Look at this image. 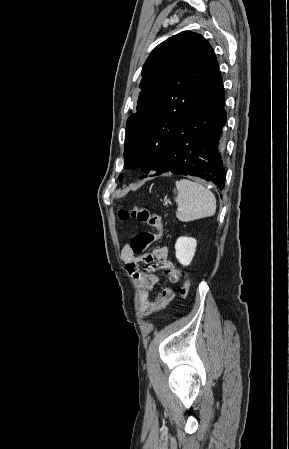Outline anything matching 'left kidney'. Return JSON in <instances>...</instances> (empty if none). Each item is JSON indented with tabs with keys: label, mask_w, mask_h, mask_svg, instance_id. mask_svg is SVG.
Segmentation results:
<instances>
[{
	"label": "left kidney",
	"mask_w": 289,
	"mask_h": 449,
	"mask_svg": "<svg viewBox=\"0 0 289 449\" xmlns=\"http://www.w3.org/2000/svg\"><path fill=\"white\" fill-rule=\"evenodd\" d=\"M197 242L191 237H179L175 244L176 258L183 266H188L195 254Z\"/></svg>",
	"instance_id": "5707ae66"
}]
</instances>
